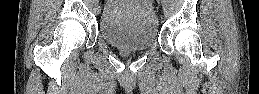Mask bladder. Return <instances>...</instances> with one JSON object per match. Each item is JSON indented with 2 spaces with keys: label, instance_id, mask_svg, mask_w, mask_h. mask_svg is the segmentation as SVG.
I'll return each mask as SVG.
<instances>
[{
  "label": "bladder",
  "instance_id": "bladder-1",
  "mask_svg": "<svg viewBox=\"0 0 259 94\" xmlns=\"http://www.w3.org/2000/svg\"><path fill=\"white\" fill-rule=\"evenodd\" d=\"M158 31L157 16L147 0H110L99 18L100 36L119 49H148Z\"/></svg>",
  "mask_w": 259,
  "mask_h": 94
}]
</instances>
